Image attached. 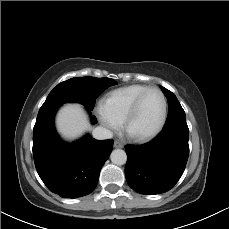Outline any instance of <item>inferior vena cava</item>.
Returning <instances> with one entry per match:
<instances>
[{
  "instance_id": "inferior-vena-cava-1",
  "label": "inferior vena cava",
  "mask_w": 229,
  "mask_h": 229,
  "mask_svg": "<svg viewBox=\"0 0 229 229\" xmlns=\"http://www.w3.org/2000/svg\"><path fill=\"white\" fill-rule=\"evenodd\" d=\"M92 134L97 140L111 139L113 137V133L110 130L101 126L96 127Z\"/></svg>"
}]
</instances>
